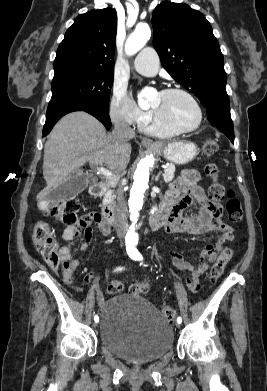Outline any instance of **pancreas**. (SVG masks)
<instances>
[{"label": "pancreas", "instance_id": "cf45deb5", "mask_svg": "<svg viewBox=\"0 0 267 391\" xmlns=\"http://www.w3.org/2000/svg\"><path fill=\"white\" fill-rule=\"evenodd\" d=\"M175 166L170 164L167 168L164 169L163 178L165 182H170L174 178ZM116 186V182L110 181L108 182V190L105 193L104 204L107 206H112L114 203L115 194L112 188Z\"/></svg>", "mask_w": 267, "mask_h": 391}]
</instances>
